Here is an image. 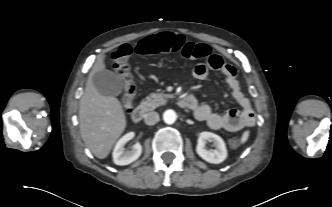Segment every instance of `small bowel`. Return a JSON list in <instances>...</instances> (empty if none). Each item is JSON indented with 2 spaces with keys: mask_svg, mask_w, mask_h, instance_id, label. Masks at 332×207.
Listing matches in <instances>:
<instances>
[{
  "mask_svg": "<svg viewBox=\"0 0 332 207\" xmlns=\"http://www.w3.org/2000/svg\"><path fill=\"white\" fill-rule=\"evenodd\" d=\"M217 71L224 78L239 110L230 109L224 113H217L211 110L207 104L198 103L190 108L193 110L197 120L206 123L214 130L239 131L244 127L253 126L256 121L255 113L249 99L241 90L237 79V70L234 66L227 64L222 57L217 55L216 59L209 58L206 63H199L193 69V75L198 80H205L209 71Z\"/></svg>",
  "mask_w": 332,
  "mask_h": 207,
  "instance_id": "obj_1",
  "label": "small bowel"
}]
</instances>
